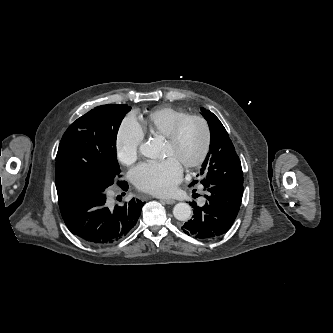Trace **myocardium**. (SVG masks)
Segmentation results:
<instances>
[{"label":"myocardium","mask_w":333,"mask_h":333,"mask_svg":"<svg viewBox=\"0 0 333 333\" xmlns=\"http://www.w3.org/2000/svg\"><path fill=\"white\" fill-rule=\"evenodd\" d=\"M191 121H195L201 125L203 130V145L198 157L194 161L184 165V168L188 171L200 167L205 162L209 154L212 141V134L208 121L200 115L188 114L187 116L177 121L175 125L172 127L170 133L166 136V143H168L171 146H175L179 141L183 128L187 123Z\"/></svg>","instance_id":"1"}]
</instances>
